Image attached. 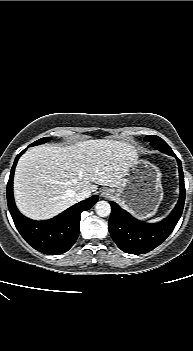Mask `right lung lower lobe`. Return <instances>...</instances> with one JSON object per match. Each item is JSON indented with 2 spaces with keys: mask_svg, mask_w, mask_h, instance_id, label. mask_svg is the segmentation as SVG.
<instances>
[{
  "mask_svg": "<svg viewBox=\"0 0 193 351\" xmlns=\"http://www.w3.org/2000/svg\"><path fill=\"white\" fill-rule=\"evenodd\" d=\"M25 150L16 157L7 184V202L12 219L21 236L34 249L48 255L65 253L79 235L81 213L90 209L97 202L98 196L81 201L50 220L35 221L25 217L17 209L13 196L15 166Z\"/></svg>",
  "mask_w": 193,
  "mask_h": 351,
  "instance_id": "right-lung-lower-lobe-1",
  "label": "right lung lower lobe"
}]
</instances>
